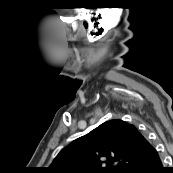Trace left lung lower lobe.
<instances>
[{
  "label": "left lung lower lobe",
  "mask_w": 173,
  "mask_h": 173,
  "mask_svg": "<svg viewBox=\"0 0 173 173\" xmlns=\"http://www.w3.org/2000/svg\"><path fill=\"white\" fill-rule=\"evenodd\" d=\"M132 173H166L157 150L152 146Z\"/></svg>",
  "instance_id": "1"
}]
</instances>
